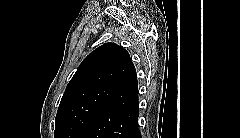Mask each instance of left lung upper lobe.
<instances>
[{"instance_id":"left-lung-upper-lobe-1","label":"left lung upper lobe","mask_w":240,"mask_h":138,"mask_svg":"<svg viewBox=\"0 0 240 138\" xmlns=\"http://www.w3.org/2000/svg\"><path fill=\"white\" fill-rule=\"evenodd\" d=\"M132 66L129 53L115 43L92 51L65 89L55 118L54 138H83Z\"/></svg>"}]
</instances>
